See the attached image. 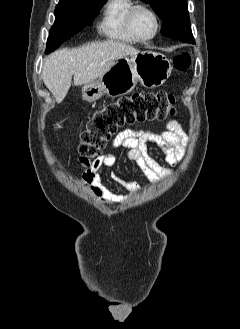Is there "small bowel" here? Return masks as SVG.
<instances>
[{
    "label": "small bowel",
    "instance_id": "1",
    "mask_svg": "<svg viewBox=\"0 0 240 329\" xmlns=\"http://www.w3.org/2000/svg\"><path fill=\"white\" fill-rule=\"evenodd\" d=\"M187 143V135L180 123L172 120L167 123L162 132L152 130L125 129L112 141L113 149L124 151L126 157L137 164L143 174L153 183H157L169 171L162 167L149 153L148 145L157 146L165 157L169 166L176 165L183 157ZM116 163V156L112 153L97 158L82 177V184L86 190L102 204H119L136 193L139 185L126 181L111 174L114 181L129 189V195H119L112 192L102 183L101 172L111 168Z\"/></svg>",
    "mask_w": 240,
    "mask_h": 329
}]
</instances>
